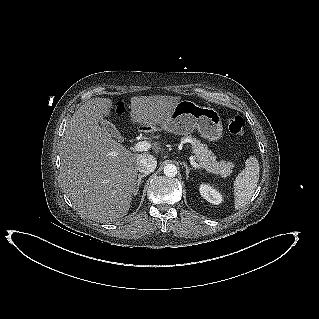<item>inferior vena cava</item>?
<instances>
[{
    "label": "inferior vena cava",
    "instance_id": "602c4592",
    "mask_svg": "<svg viewBox=\"0 0 319 319\" xmlns=\"http://www.w3.org/2000/svg\"><path fill=\"white\" fill-rule=\"evenodd\" d=\"M157 166V161L152 155L141 156L138 171L145 175L152 173Z\"/></svg>",
    "mask_w": 319,
    "mask_h": 319
}]
</instances>
